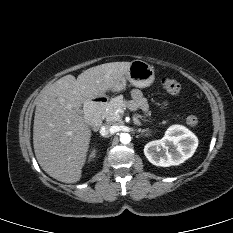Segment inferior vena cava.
<instances>
[{"instance_id":"obj_1","label":"inferior vena cava","mask_w":233,"mask_h":233,"mask_svg":"<svg viewBox=\"0 0 233 233\" xmlns=\"http://www.w3.org/2000/svg\"><path fill=\"white\" fill-rule=\"evenodd\" d=\"M116 132L115 126L113 125H105L100 129V134L102 136H107L108 134H114Z\"/></svg>"}]
</instances>
